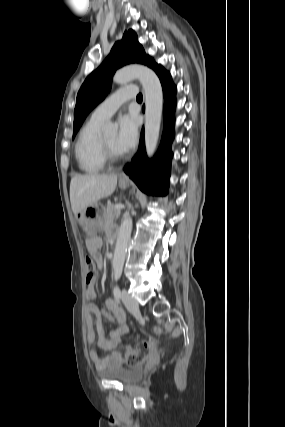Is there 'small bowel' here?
<instances>
[{
  "instance_id": "obj_1",
  "label": "small bowel",
  "mask_w": 285,
  "mask_h": 427,
  "mask_svg": "<svg viewBox=\"0 0 285 427\" xmlns=\"http://www.w3.org/2000/svg\"><path fill=\"white\" fill-rule=\"evenodd\" d=\"M101 244L102 241L99 237H94L87 241L88 251L99 265L102 264V257L98 252ZM85 294L88 300L96 298V287L93 281L87 285ZM105 306L108 311L101 310L96 304L87 305L88 342L91 344L96 343L98 347V350L90 351V358L99 371L122 364L121 354L115 350V347L130 332L129 326L125 323V312L117 301L107 299ZM103 320L114 321L117 323V327L107 332L103 326ZM102 351L108 354L103 357Z\"/></svg>"
}]
</instances>
